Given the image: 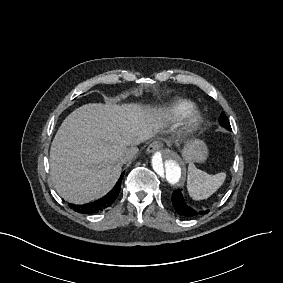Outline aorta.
Instances as JSON below:
<instances>
[{
  "label": "aorta",
  "mask_w": 283,
  "mask_h": 283,
  "mask_svg": "<svg viewBox=\"0 0 283 283\" xmlns=\"http://www.w3.org/2000/svg\"><path fill=\"white\" fill-rule=\"evenodd\" d=\"M152 171L164 186L178 185L184 175V163L177 153L169 149L155 152L151 159Z\"/></svg>",
  "instance_id": "obj_1"
}]
</instances>
